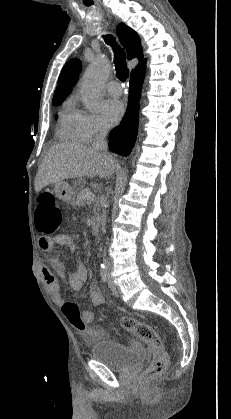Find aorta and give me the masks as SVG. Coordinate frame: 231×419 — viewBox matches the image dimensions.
<instances>
[{
  "instance_id": "aorta-1",
  "label": "aorta",
  "mask_w": 231,
  "mask_h": 419,
  "mask_svg": "<svg viewBox=\"0 0 231 419\" xmlns=\"http://www.w3.org/2000/svg\"><path fill=\"white\" fill-rule=\"evenodd\" d=\"M110 71V63L104 56H99L87 68L81 81V95L85 106L95 111L103 91V84Z\"/></svg>"
}]
</instances>
